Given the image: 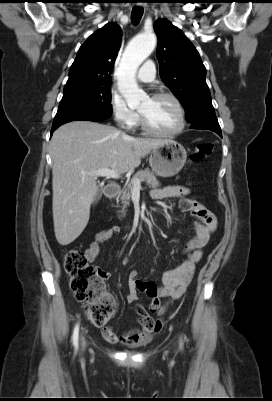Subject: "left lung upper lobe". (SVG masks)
<instances>
[{"instance_id":"obj_1","label":"left lung upper lobe","mask_w":272,"mask_h":401,"mask_svg":"<svg viewBox=\"0 0 272 401\" xmlns=\"http://www.w3.org/2000/svg\"><path fill=\"white\" fill-rule=\"evenodd\" d=\"M158 36L160 76L186 111V120L216 116L198 51L180 29L166 19L154 24Z\"/></svg>"}]
</instances>
